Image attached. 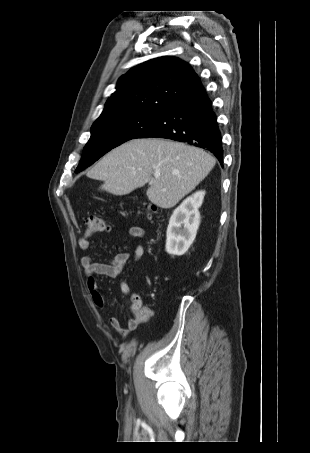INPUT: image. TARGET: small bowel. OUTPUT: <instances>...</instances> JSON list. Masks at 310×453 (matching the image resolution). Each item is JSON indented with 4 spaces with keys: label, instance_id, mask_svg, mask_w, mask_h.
Segmentation results:
<instances>
[{
    "label": "small bowel",
    "instance_id": "small-bowel-1",
    "mask_svg": "<svg viewBox=\"0 0 310 453\" xmlns=\"http://www.w3.org/2000/svg\"><path fill=\"white\" fill-rule=\"evenodd\" d=\"M128 234L131 238L133 239H142L145 236V231L143 228L139 226H131L128 229ZM78 246L82 250H87L91 246V241L87 236H83L78 239ZM145 254V247L144 246H138L135 249L134 255H133V260L138 261L140 260L143 255ZM130 259V254L127 252H120L115 255V257L109 261V262H98L95 261L92 257L90 256H84L81 259V265L84 269L85 275H86V286L88 293L90 295V298L92 302L95 304V306L99 308H103L105 306V300L103 295L101 294L98 285H97V280L95 278V275H101L109 278H115L122 274L124 271L128 261ZM120 290L122 294L126 296H131V312H132V317L128 319L126 325H123L121 321L117 317H110L109 322L112 328L123 338L127 337L130 331H133L137 329V327L142 324L144 321L148 319L150 316V310L149 308V315L147 317H139L135 314V310L133 307V300H137L140 306L142 305L141 299L138 295L131 294V288L126 279H122L119 284Z\"/></svg>",
    "mask_w": 310,
    "mask_h": 453
}]
</instances>
